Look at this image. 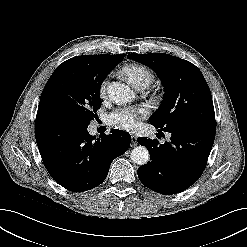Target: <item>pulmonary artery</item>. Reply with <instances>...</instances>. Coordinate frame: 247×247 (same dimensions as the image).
<instances>
[{"instance_id": "pulmonary-artery-1", "label": "pulmonary artery", "mask_w": 247, "mask_h": 247, "mask_svg": "<svg viewBox=\"0 0 247 247\" xmlns=\"http://www.w3.org/2000/svg\"><path fill=\"white\" fill-rule=\"evenodd\" d=\"M149 85V82L144 81V82H140L138 83L135 88L138 90H143L144 88H146Z\"/></svg>"}]
</instances>
